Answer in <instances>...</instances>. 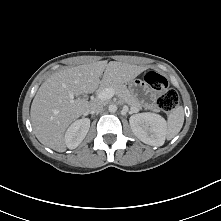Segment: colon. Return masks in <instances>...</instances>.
Masks as SVG:
<instances>
[{"label": "colon", "mask_w": 221, "mask_h": 221, "mask_svg": "<svg viewBox=\"0 0 221 221\" xmlns=\"http://www.w3.org/2000/svg\"><path fill=\"white\" fill-rule=\"evenodd\" d=\"M145 82L158 94L157 104L165 112H171L179 102L176 90L169 87L167 79L161 74L150 71L145 76Z\"/></svg>", "instance_id": "1"}]
</instances>
